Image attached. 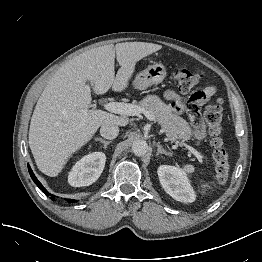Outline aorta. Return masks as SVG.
<instances>
[{"instance_id": "obj_1", "label": "aorta", "mask_w": 262, "mask_h": 262, "mask_svg": "<svg viewBox=\"0 0 262 262\" xmlns=\"http://www.w3.org/2000/svg\"><path fill=\"white\" fill-rule=\"evenodd\" d=\"M148 151V144L144 140H137L132 144V152L136 156H144Z\"/></svg>"}]
</instances>
